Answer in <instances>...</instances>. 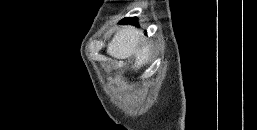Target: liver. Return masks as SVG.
<instances>
[{"label":"liver","instance_id":"6515ba94","mask_svg":"<svg viewBox=\"0 0 257 130\" xmlns=\"http://www.w3.org/2000/svg\"><path fill=\"white\" fill-rule=\"evenodd\" d=\"M142 34L133 26H125L119 30L108 44L107 53L116 59H128L135 57L133 68L138 70L146 64L150 58V45L139 46Z\"/></svg>","mask_w":257,"mask_h":130}]
</instances>
